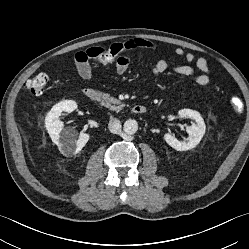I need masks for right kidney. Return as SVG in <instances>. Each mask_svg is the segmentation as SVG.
Masks as SVG:
<instances>
[{
    "label": "right kidney",
    "instance_id": "ca27d5eb",
    "mask_svg": "<svg viewBox=\"0 0 249 249\" xmlns=\"http://www.w3.org/2000/svg\"><path fill=\"white\" fill-rule=\"evenodd\" d=\"M77 108L72 100H64L54 105L45 118V127L54 144L64 156L76 155L88 142L90 136L87 133H80L76 139L75 131L72 129L63 130V122L59 117L62 112L71 113ZM63 130V131H62Z\"/></svg>",
    "mask_w": 249,
    "mask_h": 249
}]
</instances>
